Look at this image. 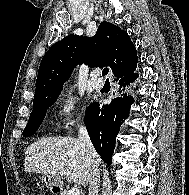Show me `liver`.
Instances as JSON below:
<instances>
[{
	"label": "liver",
	"instance_id": "1",
	"mask_svg": "<svg viewBox=\"0 0 189 195\" xmlns=\"http://www.w3.org/2000/svg\"><path fill=\"white\" fill-rule=\"evenodd\" d=\"M99 166L101 160L95 158ZM27 172L66 176L68 182L87 186L92 177L86 147L79 138L44 137L30 144L25 151Z\"/></svg>",
	"mask_w": 189,
	"mask_h": 195
}]
</instances>
